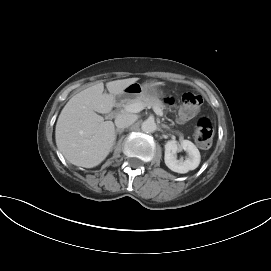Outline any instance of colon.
Returning <instances> with one entry per match:
<instances>
[{"label":"colon","instance_id":"obj_1","mask_svg":"<svg viewBox=\"0 0 271 271\" xmlns=\"http://www.w3.org/2000/svg\"><path fill=\"white\" fill-rule=\"evenodd\" d=\"M202 97L193 93H185L182 96L181 105L178 111V121L185 122L194 117L200 109ZM214 130L212 123L207 117H200L195 126V138L197 144L208 149L212 144Z\"/></svg>","mask_w":271,"mask_h":271}]
</instances>
